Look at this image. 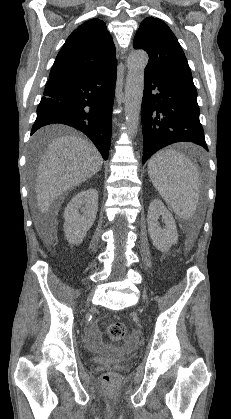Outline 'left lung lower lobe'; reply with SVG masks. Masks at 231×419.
<instances>
[{"label":"left lung lower lobe","instance_id":"obj_1","mask_svg":"<svg viewBox=\"0 0 231 419\" xmlns=\"http://www.w3.org/2000/svg\"><path fill=\"white\" fill-rule=\"evenodd\" d=\"M193 82L145 72L141 107L143 163L159 149L193 142L208 150Z\"/></svg>","mask_w":231,"mask_h":419}]
</instances>
